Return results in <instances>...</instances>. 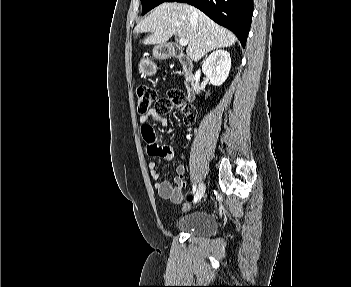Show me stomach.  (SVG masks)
Returning a JSON list of instances; mask_svg holds the SVG:
<instances>
[{
  "label": "stomach",
  "mask_w": 351,
  "mask_h": 287,
  "mask_svg": "<svg viewBox=\"0 0 351 287\" xmlns=\"http://www.w3.org/2000/svg\"><path fill=\"white\" fill-rule=\"evenodd\" d=\"M153 55L157 58H165L167 56V54L163 51V46H156L153 49ZM156 69L157 67L155 63L149 59H143L140 62L139 70L140 73L145 77L153 75L156 72Z\"/></svg>",
  "instance_id": "0dacf381"
}]
</instances>
